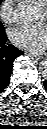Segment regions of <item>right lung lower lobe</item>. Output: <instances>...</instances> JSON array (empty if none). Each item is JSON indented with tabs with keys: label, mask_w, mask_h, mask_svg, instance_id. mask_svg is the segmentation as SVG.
<instances>
[{
	"label": "right lung lower lobe",
	"mask_w": 47,
	"mask_h": 129,
	"mask_svg": "<svg viewBox=\"0 0 47 129\" xmlns=\"http://www.w3.org/2000/svg\"><path fill=\"white\" fill-rule=\"evenodd\" d=\"M7 37L0 36V92L8 85L13 68V61L23 52L12 44L4 45Z\"/></svg>",
	"instance_id": "right-lung-lower-lobe-1"
}]
</instances>
